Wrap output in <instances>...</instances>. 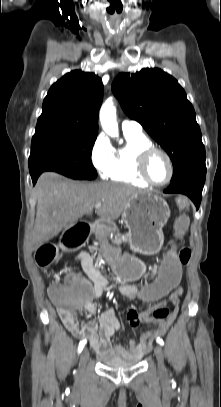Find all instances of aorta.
I'll return each instance as SVG.
<instances>
[{
  "mask_svg": "<svg viewBox=\"0 0 221 407\" xmlns=\"http://www.w3.org/2000/svg\"><path fill=\"white\" fill-rule=\"evenodd\" d=\"M100 122L103 130L111 137H118V124L116 116V107L112 98L107 99L100 109Z\"/></svg>",
  "mask_w": 221,
  "mask_h": 407,
  "instance_id": "aorta-1",
  "label": "aorta"
}]
</instances>
